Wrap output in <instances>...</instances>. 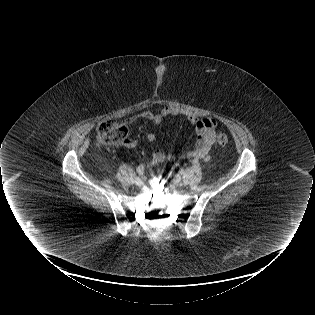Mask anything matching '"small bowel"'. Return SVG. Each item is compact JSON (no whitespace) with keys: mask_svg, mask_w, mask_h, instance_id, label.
Wrapping results in <instances>:
<instances>
[{"mask_svg":"<svg viewBox=\"0 0 315 315\" xmlns=\"http://www.w3.org/2000/svg\"><path fill=\"white\" fill-rule=\"evenodd\" d=\"M179 112L170 107H159L155 110L143 111L139 114L132 115L126 118L123 122L124 125H129L137 121L138 119H145L150 121L154 127H159L163 120L170 116H177ZM189 123H191L197 133V139L193 147L182 152L179 156H175L172 153L164 152L162 150H155L151 155V165L160 164L165 161H172L176 158L188 160V159H201L207 161L210 158V149L215 142V128L216 122L212 118H198L194 115L187 117ZM156 134L150 132L147 134V140L149 142L156 141ZM137 142L133 139H128L124 146L128 148L135 147Z\"/></svg>","mask_w":315,"mask_h":315,"instance_id":"c3829d8e","label":"small bowel"}]
</instances>
